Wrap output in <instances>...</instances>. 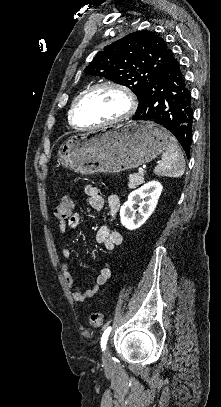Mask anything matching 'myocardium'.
Masks as SVG:
<instances>
[{
    "label": "myocardium",
    "instance_id": "1",
    "mask_svg": "<svg viewBox=\"0 0 221 407\" xmlns=\"http://www.w3.org/2000/svg\"><path fill=\"white\" fill-rule=\"evenodd\" d=\"M104 88H113V89L121 91L125 95L127 102H128L127 111L122 116L115 118L113 120L103 122L97 126H93L90 128H83V127L79 126L77 124V111H78L79 106L85 100V98L88 97L91 93L95 92L96 90L104 89ZM136 108H137V100H136L135 95L133 94V92L130 90L129 87H127L126 85L114 83V82H103V83H98V84L90 86L89 88H87L86 90H84L82 93H80L78 95V97L74 101L73 106L70 111V120H71L72 124L79 130L96 129V128H99L104 125L117 124V123H120V122L128 119L129 117H131L134 114V112L136 111Z\"/></svg>",
    "mask_w": 221,
    "mask_h": 407
}]
</instances>
